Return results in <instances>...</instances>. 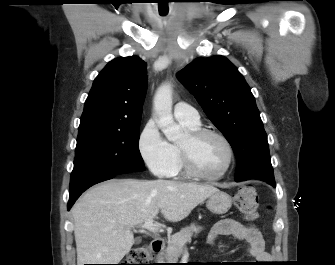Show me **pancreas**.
<instances>
[{
    "mask_svg": "<svg viewBox=\"0 0 335 265\" xmlns=\"http://www.w3.org/2000/svg\"><path fill=\"white\" fill-rule=\"evenodd\" d=\"M202 230V227L191 224L182 228L180 232L175 233L167 241L168 245L165 251L159 256V260H166L168 263H175L181 256L183 246L191 242V237L197 235Z\"/></svg>",
    "mask_w": 335,
    "mask_h": 265,
    "instance_id": "1",
    "label": "pancreas"
}]
</instances>
